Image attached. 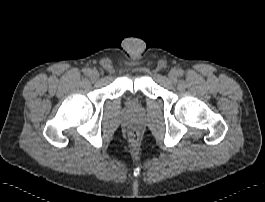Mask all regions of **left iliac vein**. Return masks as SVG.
<instances>
[{
    "label": "left iliac vein",
    "mask_w": 265,
    "mask_h": 202,
    "mask_svg": "<svg viewBox=\"0 0 265 202\" xmlns=\"http://www.w3.org/2000/svg\"><path fill=\"white\" fill-rule=\"evenodd\" d=\"M169 79L174 82L177 79V71L176 70H171L168 74Z\"/></svg>",
    "instance_id": "1"
}]
</instances>
